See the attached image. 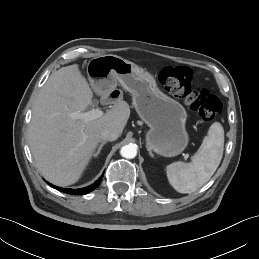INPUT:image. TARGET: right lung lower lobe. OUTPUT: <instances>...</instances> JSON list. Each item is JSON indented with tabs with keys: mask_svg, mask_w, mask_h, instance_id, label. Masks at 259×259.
Returning <instances> with one entry per match:
<instances>
[{
	"mask_svg": "<svg viewBox=\"0 0 259 259\" xmlns=\"http://www.w3.org/2000/svg\"><path fill=\"white\" fill-rule=\"evenodd\" d=\"M100 181L101 179H99L98 181H96L94 184L88 186V187H85V188H80V189H65V188H61V187H57V186H54L50 183H48L51 187L55 188L56 190L58 191H62L64 193H67V194H72V195H84V194H87L89 192H91L92 190H94L96 187H98V185L100 184Z\"/></svg>",
	"mask_w": 259,
	"mask_h": 259,
	"instance_id": "1",
	"label": "right lung lower lobe"
}]
</instances>
